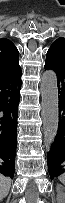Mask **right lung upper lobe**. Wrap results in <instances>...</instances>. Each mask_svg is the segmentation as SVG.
<instances>
[{"instance_id": "right-lung-upper-lobe-1", "label": "right lung upper lobe", "mask_w": 65, "mask_h": 203, "mask_svg": "<svg viewBox=\"0 0 65 203\" xmlns=\"http://www.w3.org/2000/svg\"><path fill=\"white\" fill-rule=\"evenodd\" d=\"M21 70L18 50L8 39H0V74L13 73Z\"/></svg>"}]
</instances>
